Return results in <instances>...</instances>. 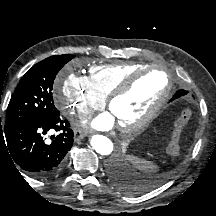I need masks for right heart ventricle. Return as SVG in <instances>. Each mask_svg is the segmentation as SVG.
Here are the masks:
<instances>
[{
    "label": "right heart ventricle",
    "instance_id": "e07e8e85",
    "mask_svg": "<svg viewBox=\"0 0 216 216\" xmlns=\"http://www.w3.org/2000/svg\"><path fill=\"white\" fill-rule=\"evenodd\" d=\"M141 67L135 62L93 65L89 68V79L94 90L107 99L116 86Z\"/></svg>",
    "mask_w": 216,
    "mask_h": 216
}]
</instances>
